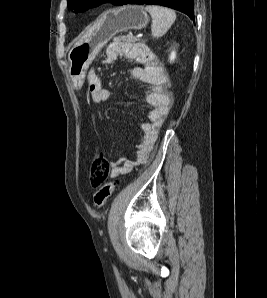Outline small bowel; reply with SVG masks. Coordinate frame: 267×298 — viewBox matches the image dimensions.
Instances as JSON below:
<instances>
[{
    "instance_id": "obj_1",
    "label": "small bowel",
    "mask_w": 267,
    "mask_h": 298,
    "mask_svg": "<svg viewBox=\"0 0 267 298\" xmlns=\"http://www.w3.org/2000/svg\"><path fill=\"white\" fill-rule=\"evenodd\" d=\"M136 61L139 65L131 70V77L148 86L145 96L149 106L148 121L141 124L142 137L136 146V160L119 158L111 162L112 176L130 172L134 166L147 162L158 132L169 114L172 97L168 91L169 76L152 51L144 44L116 41L106 49L105 64H111L118 58ZM87 87L91 99L102 103L109 99L111 92L103 79L91 69L87 76Z\"/></svg>"
}]
</instances>
